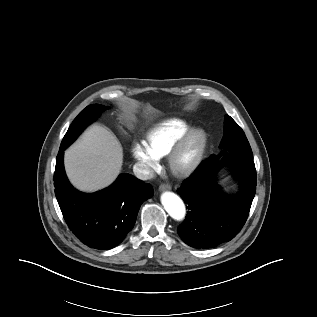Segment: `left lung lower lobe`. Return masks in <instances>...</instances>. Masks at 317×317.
I'll use <instances>...</instances> for the list:
<instances>
[{"label":"left lung lower lobe","mask_w":317,"mask_h":317,"mask_svg":"<svg viewBox=\"0 0 317 317\" xmlns=\"http://www.w3.org/2000/svg\"><path fill=\"white\" fill-rule=\"evenodd\" d=\"M219 158L213 154L203 161L177 191L190 210L177 231L193 248L215 247L233 239L244 226L255 196L257 180L253 157L228 152L221 160L232 166L237 180L239 192L233 196L225 194L216 182Z\"/></svg>","instance_id":"0a47b994"}]
</instances>
